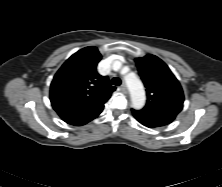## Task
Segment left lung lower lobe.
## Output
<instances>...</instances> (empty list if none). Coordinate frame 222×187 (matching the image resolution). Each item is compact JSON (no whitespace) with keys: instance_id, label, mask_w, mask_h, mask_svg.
<instances>
[{"instance_id":"1","label":"left lung lower lobe","mask_w":222,"mask_h":187,"mask_svg":"<svg viewBox=\"0 0 222 187\" xmlns=\"http://www.w3.org/2000/svg\"><path fill=\"white\" fill-rule=\"evenodd\" d=\"M134 117L144 126L154 128L171 123L178 113L162 110H132Z\"/></svg>"}]
</instances>
